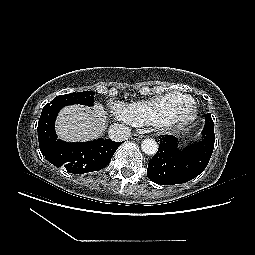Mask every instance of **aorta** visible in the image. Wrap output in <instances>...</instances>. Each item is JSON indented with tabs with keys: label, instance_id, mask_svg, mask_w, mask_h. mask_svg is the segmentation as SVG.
Returning <instances> with one entry per match:
<instances>
[{
	"label": "aorta",
	"instance_id": "762f6f07",
	"mask_svg": "<svg viewBox=\"0 0 255 255\" xmlns=\"http://www.w3.org/2000/svg\"><path fill=\"white\" fill-rule=\"evenodd\" d=\"M141 149L147 155H154L158 151V144L154 139L147 138L142 141Z\"/></svg>",
	"mask_w": 255,
	"mask_h": 255
}]
</instances>
